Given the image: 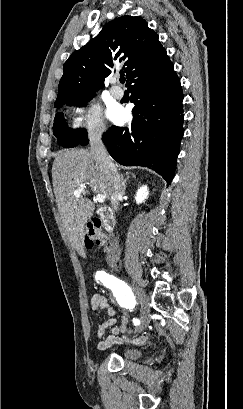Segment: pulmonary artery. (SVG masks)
<instances>
[{
    "label": "pulmonary artery",
    "instance_id": "pulmonary-artery-1",
    "mask_svg": "<svg viewBox=\"0 0 243 409\" xmlns=\"http://www.w3.org/2000/svg\"><path fill=\"white\" fill-rule=\"evenodd\" d=\"M110 93L116 99H121L124 95L123 90L119 86H112Z\"/></svg>",
    "mask_w": 243,
    "mask_h": 409
}]
</instances>
